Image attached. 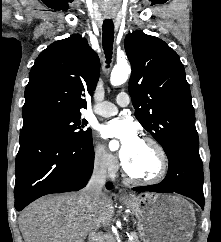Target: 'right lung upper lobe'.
<instances>
[{
	"label": "right lung upper lobe",
	"instance_id": "right-lung-upper-lobe-1",
	"mask_svg": "<svg viewBox=\"0 0 221 242\" xmlns=\"http://www.w3.org/2000/svg\"><path fill=\"white\" fill-rule=\"evenodd\" d=\"M96 52L80 35L56 41L35 60L25 89L23 125L80 114L99 79Z\"/></svg>",
	"mask_w": 221,
	"mask_h": 242
}]
</instances>
